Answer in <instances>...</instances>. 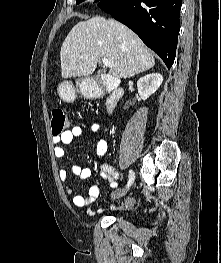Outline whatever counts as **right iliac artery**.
I'll list each match as a JSON object with an SVG mask.
<instances>
[{
  "mask_svg": "<svg viewBox=\"0 0 221 263\" xmlns=\"http://www.w3.org/2000/svg\"><path fill=\"white\" fill-rule=\"evenodd\" d=\"M134 179H135L134 172L132 170H130L129 171V181H128V184H127L128 188L132 185Z\"/></svg>",
  "mask_w": 221,
  "mask_h": 263,
  "instance_id": "obj_1",
  "label": "right iliac artery"
}]
</instances>
